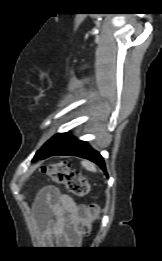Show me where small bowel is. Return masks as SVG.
<instances>
[{"label":"small bowel","instance_id":"c3829d8e","mask_svg":"<svg viewBox=\"0 0 162 261\" xmlns=\"http://www.w3.org/2000/svg\"><path fill=\"white\" fill-rule=\"evenodd\" d=\"M71 197L54 186L44 187L35 204L36 218L57 244H70L77 238L76 224L85 213Z\"/></svg>","mask_w":162,"mask_h":261}]
</instances>
